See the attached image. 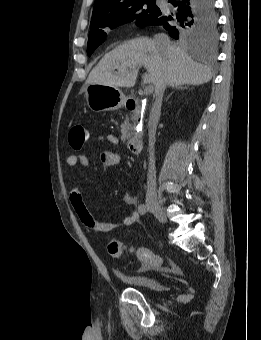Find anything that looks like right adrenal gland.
<instances>
[{
  "instance_id": "right-adrenal-gland-1",
  "label": "right adrenal gland",
  "mask_w": 261,
  "mask_h": 340,
  "mask_svg": "<svg viewBox=\"0 0 261 340\" xmlns=\"http://www.w3.org/2000/svg\"><path fill=\"white\" fill-rule=\"evenodd\" d=\"M183 89H186V86H184V85H178V86L175 87L174 90H183ZM172 93H173V92H171V93L168 95V97L166 98V101L170 98V96L172 95Z\"/></svg>"
}]
</instances>
